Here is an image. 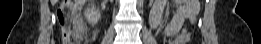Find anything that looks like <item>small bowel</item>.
Masks as SVG:
<instances>
[{
    "label": "small bowel",
    "instance_id": "c3829d8e",
    "mask_svg": "<svg viewBox=\"0 0 261 44\" xmlns=\"http://www.w3.org/2000/svg\"><path fill=\"white\" fill-rule=\"evenodd\" d=\"M177 11L174 13L172 19L164 29V34L168 37H174L178 33L185 31L187 38L189 37L188 31L184 28V20L188 19L191 24L196 21L199 10V3H191L188 1H177ZM163 11V2L158 1L155 3L151 10V24L156 27L161 20Z\"/></svg>",
    "mask_w": 261,
    "mask_h": 44
}]
</instances>
